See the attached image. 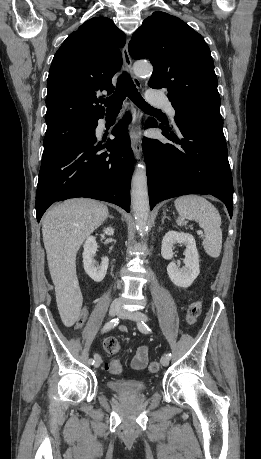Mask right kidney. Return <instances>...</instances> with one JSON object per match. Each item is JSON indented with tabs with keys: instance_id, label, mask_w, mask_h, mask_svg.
<instances>
[{
	"instance_id": "obj_1",
	"label": "right kidney",
	"mask_w": 261,
	"mask_h": 459,
	"mask_svg": "<svg viewBox=\"0 0 261 459\" xmlns=\"http://www.w3.org/2000/svg\"><path fill=\"white\" fill-rule=\"evenodd\" d=\"M104 233L106 235L113 236L114 229L112 227H107L104 229ZM83 248V266L85 272L95 282H101L104 279L108 269V257H103L100 266H96L94 256L97 250V243L95 237L93 236H89L86 239Z\"/></svg>"
}]
</instances>
